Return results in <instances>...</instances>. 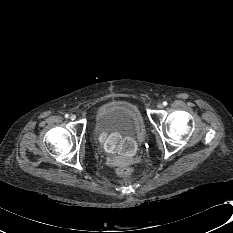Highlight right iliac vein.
<instances>
[{"mask_svg": "<svg viewBox=\"0 0 233 233\" xmlns=\"http://www.w3.org/2000/svg\"><path fill=\"white\" fill-rule=\"evenodd\" d=\"M71 120H75L76 119V116L74 114L70 115L69 117Z\"/></svg>", "mask_w": 233, "mask_h": 233, "instance_id": "1", "label": "right iliac vein"}]
</instances>
